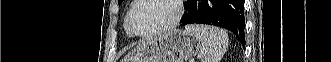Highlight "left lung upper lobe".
Returning <instances> with one entry per match:
<instances>
[{"label": "left lung upper lobe", "mask_w": 331, "mask_h": 62, "mask_svg": "<svg viewBox=\"0 0 331 62\" xmlns=\"http://www.w3.org/2000/svg\"><path fill=\"white\" fill-rule=\"evenodd\" d=\"M123 0H118V3L120 4Z\"/></svg>", "instance_id": "left-lung-upper-lobe-1"}]
</instances>
